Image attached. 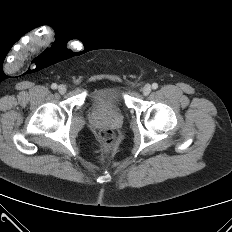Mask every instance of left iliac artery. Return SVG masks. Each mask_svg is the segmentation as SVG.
<instances>
[{"label":"left iliac artery","mask_w":232,"mask_h":232,"mask_svg":"<svg viewBox=\"0 0 232 232\" xmlns=\"http://www.w3.org/2000/svg\"><path fill=\"white\" fill-rule=\"evenodd\" d=\"M152 88H153V89H157V88H158V84H157V83H153V84H152Z\"/></svg>","instance_id":"obj_1"}]
</instances>
